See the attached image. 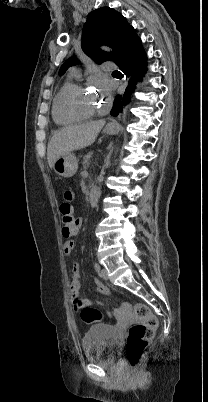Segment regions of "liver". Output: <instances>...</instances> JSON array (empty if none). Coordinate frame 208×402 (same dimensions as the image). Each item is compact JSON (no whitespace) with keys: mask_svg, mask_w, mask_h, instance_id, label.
I'll use <instances>...</instances> for the list:
<instances>
[{"mask_svg":"<svg viewBox=\"0 0 208 402\" xmlns=\"http://www.w3.org/2000/svg\"><path fill=\"white\" fill-rule=\"evenodd\" d=\"M105 120L97 122H87V124H76L67 126L52 136L47 148V160L49 168H53L55 160L59 156L69 154L73 150H81L94 144L100 130H102Z\"/></svg>","mask_w":208,"mask_h":402,"instance_id":"obj_1","label":"liver"}]
</instances>
